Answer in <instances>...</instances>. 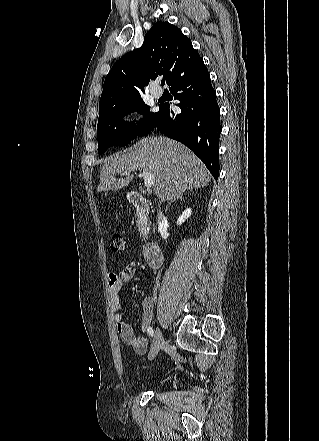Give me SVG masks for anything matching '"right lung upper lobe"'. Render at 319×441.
Instances as JSON below:
<instances>
[{
  "label": "right lung upper lobe",
  "mask_w": 319,
  "mask_h": 441,
  "mask_svg": "<svg viewBox=\"0 0 319 441\" xmlns=\"http://www.w3.org/2000/svg\"><path fill=\"white\" fill-rule=\"evenodd\" d=\"M202 58L191 41L169 22H157L145 35L141 48L121 57L105 78L99 111L141 100L150 80L163 75L170 86Z\"/></svg>",
  "instance_id": "cb5924a9"
}]
</instances>
